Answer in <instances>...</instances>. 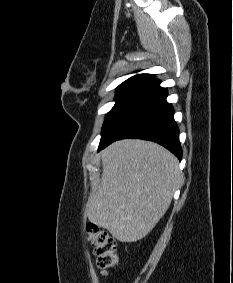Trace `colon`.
Returning a JSON list of instances; mask_svg holds the SVG:
<instances>
[{
    "label": "colon",
    "instance_id": "1",
    "mask_svg": "<svg viewBox=\"0 0 233 283\" xmlns=\"http://www.w3.org/2000/svg\"><path fill=\"white\" fill-rule=\"evenodd\" d=\"M88 239L91 242L97 257V266L106 273L109 268L117 264L115 240L104 230L93 223L86 225Z\"/></svg>",
    "mask_w": 233,
    "mask_h": 283
}]
</instances>
